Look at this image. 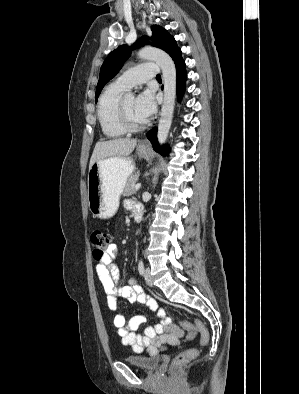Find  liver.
<instances>
[{
    "mask_svg": "<svg viewBox=\"0 0 299 394\" xmlns=\"http://www.w3.org/2000/svg\"><path fill=\"white\" fill-rule=\"evenodd\" d=\"M137 144L136 139L118 138L98 141L93 150L89 168L97 161L110 157H128Z\"/></svg>",
    "mask_w": 299,
    "mask_h": 394,
    "instance_id": "1",
    "label": "liver"
}]
</instances>
